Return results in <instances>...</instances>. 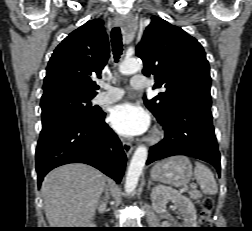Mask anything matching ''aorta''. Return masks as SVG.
<instances>
[{
	"label": "aorta",
	"instance_id": "762f6f07",
	"mask_svg": "<svg viewBox=\"0 0 252 231\" xmlns=\"http://www.w3.org/2000/svg\"><path fill=\"white\" fill-rule=\"evenodd\" d=\"M142 67L143 63L140 59H125L120 64L119 71L123 75H131L140 71ZM147 156L148 149L145 146L141 145L135 150L126 174L125 191L127 193L132 192L136 188L139 177L145 166Z\"/></svg>",
	"mask_w": 252,
	"mask_h": 231
}]
</instances>
